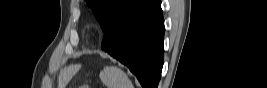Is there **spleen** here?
I'll return each instance as SVG.
<instances>
[{
	"label": "spleen",
	"mask_w": 267,
	"mask_h": 88,
	"mask_svg": "<svg viewBox=\"0 0 267 88\" xmlns=\"http://www.w3.org/2000/svg\"><path fill=\"white\" fill-rule=\"evenodd\" d=\"M100 78L107 88H134L127 74L115 66L104 67Z\"/></svg>",
	"instance_id": "1"
}]
</instances>
